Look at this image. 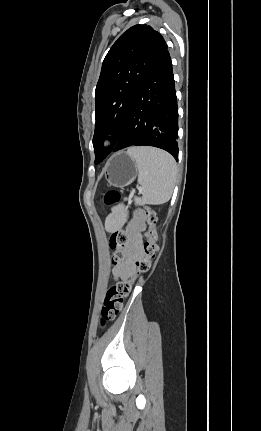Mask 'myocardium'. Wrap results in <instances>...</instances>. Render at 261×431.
I'll return each mask as SVG.
<instances>
[{"instance_id": "obj_1", "label": "myocardium", "mask_w": 261, "mask_h": 431, "mask_svg": "<svg viewBox=\"0 0 261 431\" xmlns=\"http://www.w3.org/2000/svg\"><path fill=\"white\" fill-rule=\"evenodd\" d=\"M110 145H111V138L108 136L103 138V140L101 141L102 148L106 149V148L110 147Z\"/></svg>"}]
</instances>
